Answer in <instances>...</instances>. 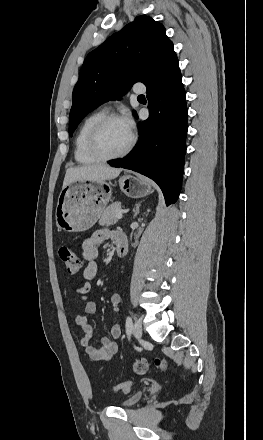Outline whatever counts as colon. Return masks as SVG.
I'll return each mask as SVG.
<instances>
[{
    "label": "colon",
    "instance_id": "5ec220e1",
    "mask_svg": "<svg viewBox=\"0 0 263 440\" xmlns=\"http://www.w3.org/2000/svg\"><path fill=\"white\" fill-rule=\"evenodd\" d=\"M58 253L61 261L63 262L66 270L69 273L78 274L81 272L82 263L71 246L68 245L60 246ZM153 363L158 368H165L167 366L166 360L162 357H156ZM149 365L150 363L148 360L143 358L139 359L135 363V370L138 373H144L148 369ZM131 386H132L131 382L126 381L115 385L114 390L127 393L130 391Z\"/></svg>",
    "mask_w": 263,
    "mask_h": 440
}]
</instances>
